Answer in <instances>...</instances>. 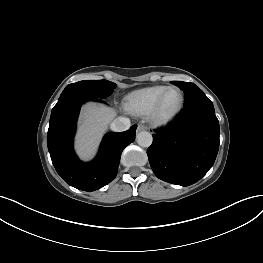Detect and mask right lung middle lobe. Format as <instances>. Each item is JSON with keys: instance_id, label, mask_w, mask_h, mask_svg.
Returning <instances> with one entry per match:
<instances>
[{"instance_id": "1", "label": "right lung middle lobe", "mask_w": 263, "mask_h": 263, "mask_svg": "<svg viewBox=\"0 0 263 263\" xmlns=\"http://www.w3.org/2000/svg\"><path fill=\"white\" fill-rule=\"evenodd\" d=\"M116 84L107 80H84L69 84L62 92L59 101L71 96L106 98L112 94Z\"/></svg>"}]
</instances>
